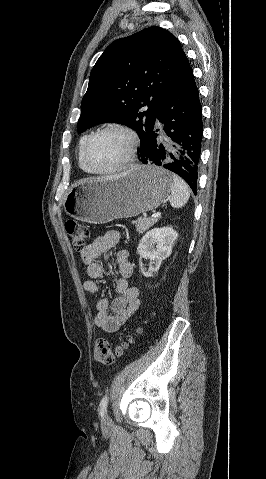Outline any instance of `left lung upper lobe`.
<instances>
[{
  "label": "left lung upper lobe",
  "instance_id": "obj_1",
  "mask_svg": "<svg viewBox=\"0 0 266 479\" xmlns=\"http://www.w3.org/2000/svg\"><path fill=\"white\" fill-rule=\"evenodd\" d=\"M189 69L179 40L160 27L115 40L91 71L79 132L105 122L127 125L140 137L141 157L161 104Z\"/></svg>",
  "mask_w": 266,
  "mask_h": 479
}]
</instances>
